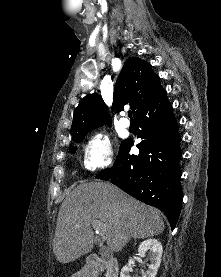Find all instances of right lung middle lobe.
I'll return each mask as SVG.
<instances>
[{
    "mask_svg": "<svg viewBox=\"0 0 221 277\" xmlns=\"http://www.w3.org/2000/svg\"><path fill=\"white\" fill-rule=\"evenodd\" d=\"M94 128H96V127H94ZM94 128H90V129H87V130H84V131H81V132H79V133H76V134L72 135V140H73L74 142H76V143L82 142L83 139H84V136L88 133V131H91V130H93ZM70 151H71L72 153H74L75 148H73V147L71 146V147H70Z\"/></svg>",
    "mask_w": 221,
    "mask_h": 277,
    "instance_id": "dd1d6c3e",
    "label": "right lung middle lobe"
}]
</instances>
